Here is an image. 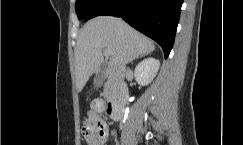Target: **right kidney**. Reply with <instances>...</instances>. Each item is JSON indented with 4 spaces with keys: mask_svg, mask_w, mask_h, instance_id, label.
I'll list each match as a JSON object with an SVG mask.
<instances>
[{
    "mask_svg": "<svg viewBox=\"0 0 243 145\" xmlns=\"http://www.w3.org/2000/svg\"><path fill=\"white\" fill-rule=\"evenodd\" d=\"M160 67V61L153 57L141 61L134 70L135 80L140 85H148L156 76Z\"/></svg>",
    "mask_w": 243,
    "mask_h": 145,
    "instance_id": "1",
    "label": "right kidney"
}]
</instances>
